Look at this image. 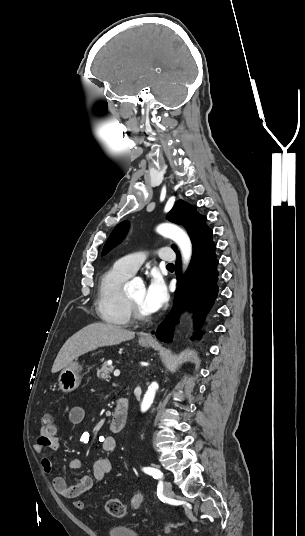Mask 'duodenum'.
Returning a JSON list of instances; mask_svg holds the SVG:
<instances>
[{
  "label": "duodenum",
  "mask_w": 305,
  "mask_h": 536,
  "mask_svg": "<svg viewBox=\"0 0 305 536\" xmlns=\"http://www.w3.org/2000/svg\"><path fill=\"white\" fill-rule=\"evenodd\" d=\"M129 414L128 402L125 398H118L115 410L110 421V429L113 431H121L127 424Z\"/></svg>",
  "instance_id": "410a0bca"
}]
</instances>
